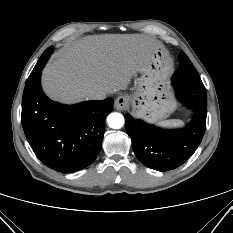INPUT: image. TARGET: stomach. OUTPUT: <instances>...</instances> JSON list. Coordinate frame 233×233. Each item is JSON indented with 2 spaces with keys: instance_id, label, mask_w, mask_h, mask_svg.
Wrapping results in <instances>:
<instances>
[{
  "instance_id": "1",
  "label": "stomach",
  "mask_w": 233,
  "mask_h": 233,
  "mask_svg": "<svg viewBox=\"0 0 233 233\" xmlns=\"http://www.w3.org/2000/svg\"><path fill=\"white\" fill-rule=\"evenodd\" d=\"M170 63L158 48L152 60L135 80L129 100L137 116L156 122L169 116L174 105L169 97L167 79Z\"/></svg>"
}]
</instances>
